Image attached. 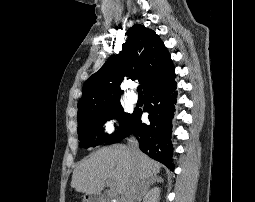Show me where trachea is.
<instances>
[{
	"label": "trachea",
	"instance_id": "trachea-1",
	"mask_svg": "<svg viewBox=\"0 0 255 202\" xmlns=\"http://www.w3.org/2000/svg\"><path fill=\"white\" fill-rule=\"evenodd\" d=\"M137 92H138L139 95H142V85H139L137 87Z\"/></svg>",
	"mask_w": 255,
	"mask_h": 202
}]
</instances>
